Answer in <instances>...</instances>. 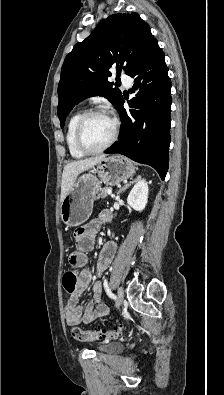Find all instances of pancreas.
Masks as SVG:
<instances>
[{"instance_id":"pancreas-1","label":"pancreas","mask_w":224,"mask_h":395,"mask_svg":"<svg viewBox=\"0 0 224 395\" xmlns=\"http://www.w3.org/2000/svg\"><path fill=\"white\" fill-rule=\"evenodd\" d=\"M110 189V187H104L101 189L100 193H98L95 197V199H100V198H106L107 197V190Z\"/></svg>"}]
</instances>
